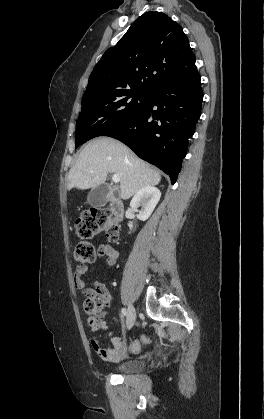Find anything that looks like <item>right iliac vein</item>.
Wrapping results in <instances>:
<instances>
[{
  "mask_svg": "<svg viewBox=\"0 0 264 419\" xmlns=\"http://www.w3.org/2000/svg\"><path fill=\"white\" fill-rule=\"evenodd\" d=\"M135 320H136V311L132 305H129L128 311H127V319H126L128 329H130L134 325Z\"/></svg>",
  "mask_w": 264,
  "mask_h": 419,
  "instance_id": "obj_1",
  "label": "right iliac vein"
}]
</instances>
